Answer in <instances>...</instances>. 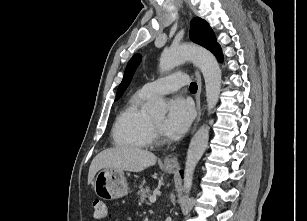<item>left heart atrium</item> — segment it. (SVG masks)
Masks as SVG:
<instances>
[{
	"label": "left heart atrium",
	"instance_id": "1",
	"mask_svg": "<svg viewBox=\"0 0 307 221\" xmlns=\"http://www.w3.org/2000/svg\"><path fill=\"white\" fill-rule=\"evenodd\" d=\"M193 108L189 101L176 97L170 101L169 110L162 124V131L171 138L182 135L190 126Z\"/></svg>",
	"mask_w": 307,
	"mask_h": 221
}]
</instances>
